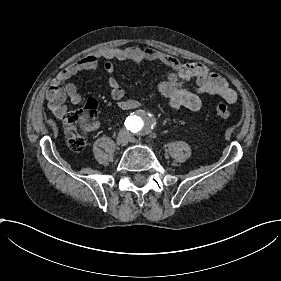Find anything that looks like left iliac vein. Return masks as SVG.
I'll return each instance as SVG.
<instances>
[{
	"label": "left iliac vein",
	"mask_w": 281,
	"mask_h": 281,
	"mask_svg": "<svg viewBox=\"0 0 281 281\" xmlns=\"http://www.w3.org/2000/svg\"><path fill=\"white\" fill-rule=\"evenodd\" d=\"M130 142H132V143H137V138H133V136L132 137H130Z\"/></svg>",
	"instance_id": "1"
}]
</instances>
